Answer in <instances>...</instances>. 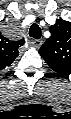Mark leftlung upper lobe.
Masks as SVG:
<instances>
[{
    "instance_id": "5c2ea615",
    "label": "left lung upper lobe",
    "mask_w": 71,
    "mask_h": 119,
    "mask_svg": "<svg viewBox=\"0 0 71 119\" xmlns=\"http://www.w3.org/2000/svg\"><path fill=\"white\" fill-rule=\"evenodd\" d=\"M51 36L41 46L39 53L57 74H71V22L57 20L50 27Z\"/></svg>"
}]
</instances>
